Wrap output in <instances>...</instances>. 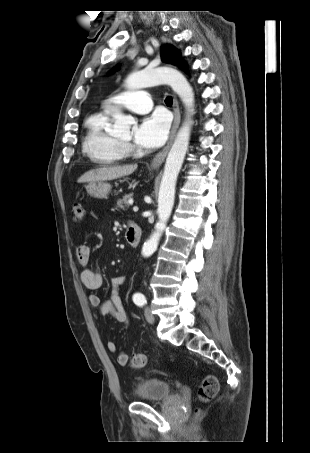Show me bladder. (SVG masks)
Returning a JSON list of instances; mask_svg holds the SVG:
<instances>
[{
    "mask_svg": "<svg viewBox=\"0 0 310 453\" xmlns=\"http://www.w3.org/2000/svg\"><path fill=\"white\" fill-rule=\"evenodd\" d=\"M173 395L170 383L159 378H146L140 380L134 388V396L145 402L162 401Z\"/></svg>",
    "mask_w": 310,
    "mask_h": 453,
    "instance_id": "31cf9c89",
    "label": "bladder"
}]
</instances>
